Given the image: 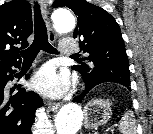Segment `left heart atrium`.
Here are the masks:
<instances>
[{
  "mask_svg": "<svg viewBox=\"0 0 153 134\" xmlns=\"http://www.w3.org/2000/svg\"><path fill=\"white\" fill-rule=\"evenodd\" d=\"M32 86L50 97H60L68 89L69 80L65 73H58L52 66L42 67L34 76Z\"/></svg>",
  "mask_w": 153,
  "mask_h": 134,
  "instance_id": "left-heart-atrium-1",
  "label": "left heart atrium"
}]
</instances>
